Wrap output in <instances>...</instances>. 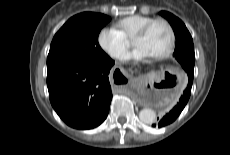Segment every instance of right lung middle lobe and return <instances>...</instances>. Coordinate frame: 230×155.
I'll use <instances>...</instances> for the list:
<instances>
[{"instance_id": "1", "label": "right lung middle lobe", "mask_w": 230, "mask_h": 155, "mask_svg": "<svg viewBox=\"0 0 230 155\" xmlns=\"http://www.w3.org/2000/svg\"><path fill=\"white\" fill-rule=\"evenodd\" d=\"M110 17L85 12L70 18L55 34L47 57V67L61 63H95L109 56L98 43L100 30Z\"/></svg>"}]
</instances>
